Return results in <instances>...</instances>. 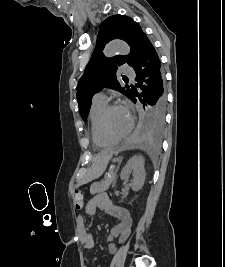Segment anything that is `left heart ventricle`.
Here are the masks:
<instances>
[{"label": "left heart ventricle", "mask_w": 225, "mask_h": 267, "mask_svg": "<svg viewBox=\"0 0 225 267\" xmlns=\"http://www.w3.org/2000/svg\"><path fill=\"white\" fill-rule=\"evenodd\" d=\"M130 118L123 108L111 110L106 117L105 127L107 132L114 138L121 137L127 131Z\"/></svg>", "instance_id": "obj_1"}]
</instances>
